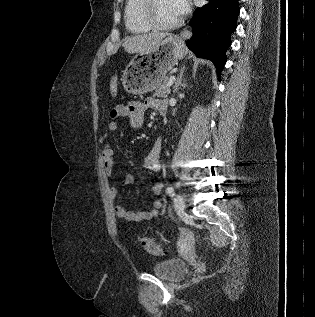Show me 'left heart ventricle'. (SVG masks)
<instances>
[{
	"label": "left heart ventricle",
	"mask_w": 315,
	"mask_h": 317,
	"mask_svg": "<svg viewBox=\"0 0 315 317\" xmlns=\"http://www.w3.org/2000/svg\"><path fill=\"white\" fill-rule=\"evenodd\" d=\"M156 19L163 24H169L179 19L171 0H157L155 5Z\"/></svg>",
	"instance_id": "1"
}]
</instances>
